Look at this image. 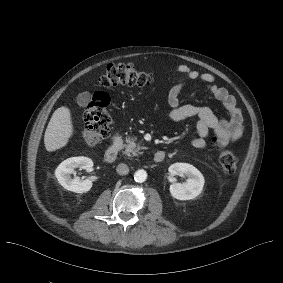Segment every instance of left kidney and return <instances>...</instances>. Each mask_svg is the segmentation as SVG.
<instances>
[{
    "label": "left kidney",
    "mask_w": 283,
    "mask_h": 283,
    "mask_svg": "<svg viewBox=\"0 0 283 283\" xmlns=\"http://www.w3.org/2000/svg\"><path fill=\"white\" fill-rule=\"evenodd\" d=\"M170 193L177 200H190L197 197L203 190L205 183L202 173L188 163H174L169 166ZM183 175L187 180L183 184L177 183L174 176Z\"/></svg>",
    "instance_id": "left-kidney-1"
}]
</instances>
